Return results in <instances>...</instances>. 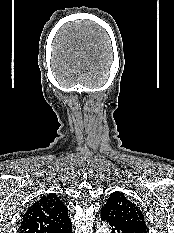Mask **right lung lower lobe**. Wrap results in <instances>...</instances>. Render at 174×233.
<instances>
[{
  "instance_id": "obj_1",
  "label": "right lung lower lobe",
  "mask_w": 174,
  "mask_h": 233,
  "mask_svg": "<svg viewBox=\"0 0 174 233\" xmlns=\"http://www.w3.org/2000/svg\"><path fill=\"white\" fill-rule=\"evenodd\" d=\"M55 233H71V225H69L68 227L64 229L57 230L55 231Z\"/></svg>"
}]
</instances>
